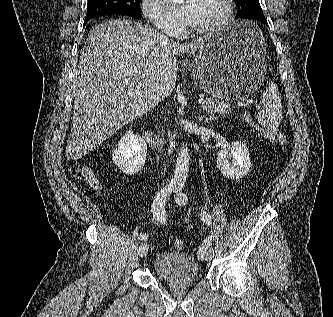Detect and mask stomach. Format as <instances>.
<instances>
[{
	"mask_svg": "<svg viewBox=\"0 0 333 317\" xmlns=\"http://www.w3.org/2000/svg\"><path fill=\"white\" fill-rule=\"evenodd\" d=\"M266 44L260 24L236 22L207 36L192 63L195 82L206 93L238 101L262 95Z\"/></svg>",
	"mask_w": 333,
	"mask_h": 317,
	"instance_id": "stomach-1",
	"label": "stomach"
}]
</instances>
